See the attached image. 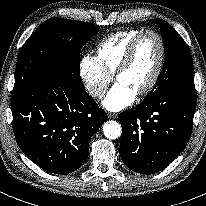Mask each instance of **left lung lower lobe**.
<instances>
[{
	"label": "left lung lower lobe",
	"mask_w": 206,
	"mask_h": 206,
	"mask_svg": "<svg viewBox=\"0 0 206 206\" xmlns=\"http://www.w3.org/2000/svg\"><path fill=\"white\" fill-rule=\"evenodd\" d=\"M195 107L196 90L180 88L122 112L120 155L124 164L142 174L167 167L190 138Z\"/></svg>",
	"instance_id": "0a47b994"
}]
</instances>
